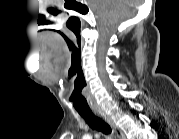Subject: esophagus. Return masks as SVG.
Listing matches in <instances>:
<instances>
[{"label":"esophagus","mask_w":179,"mask_h":139,"mask_svg":"<svg viewBox=\"0 0 179 139\" xmlns=\"http://www.w3.org/2000/svg\"><path fill=\"white\" fill-rule=\"evenodd\" d=\"M95 114L101 117L104 121H106L110 127L112 128L113 132L115 133L118 139H125V135L122 130L113 122V120L104 112L102 109H95Z\"/></svg>","instance_id":"34e87169"}]
</instances>
